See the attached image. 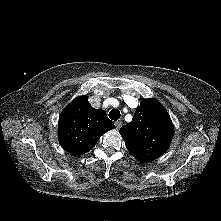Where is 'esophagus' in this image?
Listing matches in <instances>:
<instances>
[{"instance_id":"34e87169","label":"esophagus","mask_w":221,"mask_h":221,"mask_svg":"<svg viewBox=\"0 0 221 221\" xmlns=\"http://www.w3.org/2000/svg\"><path fill=\"white\" fill-rule=\"evenodd\" d=\"M114 124H115L116 129L118 130L122 126V121H116Z\"/></svg>"}]
</instances>
